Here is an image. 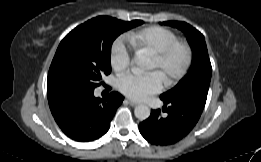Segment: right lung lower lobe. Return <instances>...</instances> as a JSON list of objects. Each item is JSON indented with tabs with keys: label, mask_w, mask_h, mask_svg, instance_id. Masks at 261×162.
I'll use <instances>...</instances> for the list:
<instances>
[{
	"label": "right lung lower lobe",
	"mask_w": 261,
	"mask_h": 162,
	"mask_svg": "<svg viewBox=\"0 0 261 162\" xmlns=\"http://www.w3.org/2000/svg\"><path fill=\"white\" fill-rule=\"evenodd\" d=\"M123 96L112 92L107 99L94 97L93 91L66 90L49 99L52 115L71 139L81 142L100 138L122 104Z\"/></svg>",
	"instance_id": "1"
}]
</instances>
